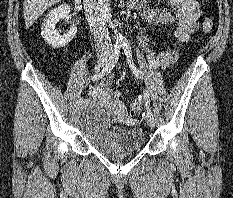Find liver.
Masks as SVG:
<instances>
[{"label":"liver","instance_id":"obj_1","mask_svg":"<svg viewBox=\"0 0 233 198\" xmlns=\"http://www.w3.org/2000/svg\"><path fill=\"white\" fill-rule=\"evenodd\" d=\"M62 0H24L23 14L25 26L29 29L33 23L51 6Z\"/></svg>","mask_w":233,"mask_h":198}]
</instances>
